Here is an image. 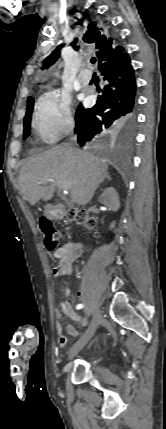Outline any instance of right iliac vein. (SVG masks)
Wrapping results in <instances>:
<instances>
[{"label": "right iliac vein", "mask_w": 166, "mask_h": 429, "mask_svg": "<svg viewBox=\"0 0 166 429\" xmlns=\"http://www.w3.org/2000/svg\"><path fill=\"white\" fill-rule=\"evenodd\" d=\"M100 320H101V314L98 310H96L94 312L92 322L89 325L88 329L71 348L69 352V359H72L74 356H76L80 352V350L89 342V340L96 332Z\"/></svg>", "instance_id": "right-iliac-vein-1"}]
</instances>
